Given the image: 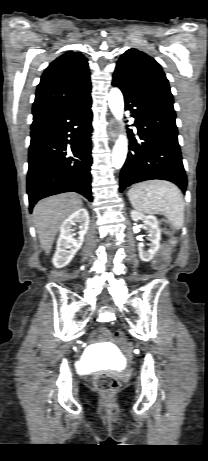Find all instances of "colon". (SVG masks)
<instances>
[{
	"label": "colon",
	"instance_id": "obj_1",
	"mask_svg": "<svg viewBox=\"0 0 208 461\" xmlns=\"http://www.w3.org/2000/svg\"><path fill=\"white\" fill-rule=\"evenodd\" d=\"M161 228L166 235L171 236L173 234V227L167 221L161 222ZM169 247L163 246L162 249L159 251L156 259L155 265L157 267H163L169 257ZM115 339L120 343H126V339L121 331L114 332ZM94 388L101 394L109 395L115 392L119 388V381L116 377L106 374V373H99L94 378Z\"/></svg>",
	"mask_w": 208,
	"mask_h": 461
}]
</instances>
